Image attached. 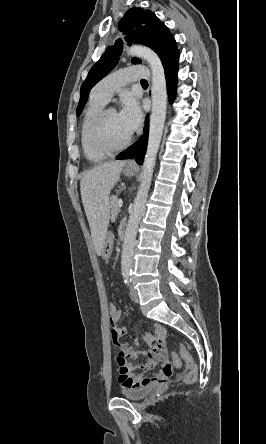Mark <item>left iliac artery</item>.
<instances>
[{"label":"left iliac artery","mask_w":266,"mask_h":444,"mask_svg":"<svg viewBox=\"0 0 266 444\" xmlns=\"http://www.w3.org/2000/svg\"><path fill=\"white\" fill-rule=\"evenodd\" d=\"M130 276H131L130 274H125V275H124L125 283H126L127 285H129V283L131 282V277H130Z\"/></svg>","instance_id":"1"}]
</instances>
